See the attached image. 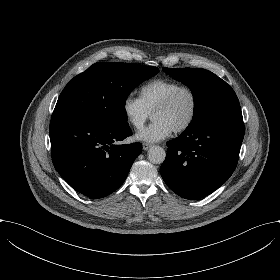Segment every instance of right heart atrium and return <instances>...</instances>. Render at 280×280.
I'll return each mask as SVG.
<instances>
[{
	"instance_id": "obj_1",
	"label": "right heart atrium",
	"mask_w": 280,
	"mask_h": 280,
	"mask_svg": "<svg viewBox=\"0 0 280 280\" xmlns=\"http://www.w3.org/2000/svg\"><path fill=\"white\" fill-rule=\"evenodd\" d=\"M122 113L125 120L135 129H140L150 113L139 98L126 97L122 102Z\"/></svg>"
}]
</instances>
